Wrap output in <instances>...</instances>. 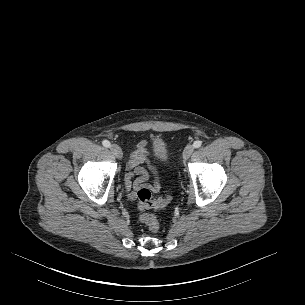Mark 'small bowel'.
<instances>
[{"instance_id": "obj_1", "label": "small bowel", "mask_w": 305, "mask_h": 305, "mask_svg": "<svg viewBox=\"0 0 305 305\" xmlns=\"http://www.w3.org/2000/svg\"><path fill=\"white\" fill-rule=\"evenodd\" d=\"M148 162L150 164V168L153 171L154 174H156V168L152 164L151 161V154L148 150V142L146 140L140 141L133 153L131 154L130 161H129V168L130 172L127 174L125 178V189L127 192V197L131 200L136 199V193L134 191H131L133 188L134 190H139L144 186V181L146 179L147 173L141 168H138V166L143 163ZM138 173L140 176L133 180L134 174ZM159 188L158 185V179L155 175V182L152 186V189L154 191H157Z\"/></svg>"}]
</instances>
